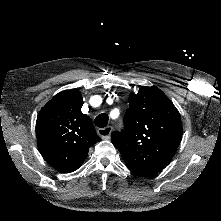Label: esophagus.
<instances>
[{"mask_svg":"<svg viewBox=\"0 0 221 221\" xmlns=\"http://www.w3.org/2000/svg\"><path fill=\"white\" fill-rule=\"evenodd\" d=\"M112 130H113L112 126H107L105 128H99L97 130V133L102 139L109 140Z\"/></svg>","mask_w":221,"mask_h":221,"instance_id":"1","label":"esophagus"}]
</instances>
